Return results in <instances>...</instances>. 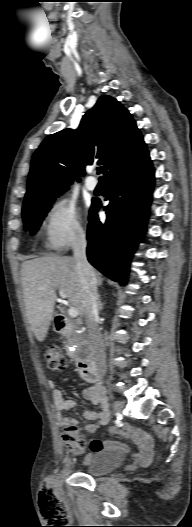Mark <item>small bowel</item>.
Wrapping results in <instances>:
<instances>
[{"mask_svg":"<svg viewBox=\"0 0 192 527\" xmlns=\"http://www.w3.org/2000/svg\"><path fill=\"white\" fill-rule=\"evenodd\" d=\"M48 382L52 389V398L58 425L62 428H66L71 424H77V420L75 418L66 417L63 415V412L74 408L75 401L72 398L64 397L62 392L56 387L53 379H49ZM83 397L99 407V410L97 411L85 410L83 413L85 419L97 421L96 423L87 424L84 428L85 432L91 434L94 433L100 425H106L109 422L110 412L106 398L104 396L103 388L100 385H94L84 389ZM119 434L124 438L130 439L136 444L138 451L134 454V458L137 462H139L141 469H148L150 466L149 461L153 456V443L150 436L130 425H123L120 428ZM107 447L127 450L125 445L117 442H104L101 440H95L91 443L92 451L105 449Z\"/></svg>","mask_w":192,"mask_h":527,"instance_id":"c3829d8e","label":"small bowel"}]
</instances>
